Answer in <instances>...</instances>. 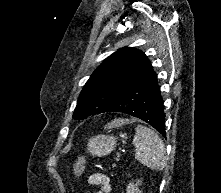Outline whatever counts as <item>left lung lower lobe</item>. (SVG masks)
Listing matches in <instances>:
<instances>
[{"mask_svg": "<svg viewBox=\"0 0 221 193\" xmlns=\"http://www.w3.org/2000/svg\"><path fill=\"white\" fill-rule=\"evenodd\" d=\"M104 112H121L137 117L166 138L163 100L153 68L133 81Z\"/></svg>", "mask_w": 221, "mask_h": 193, "instance_id": "0a47b994", "label": "left lung lower lobe"}]
</instances>
